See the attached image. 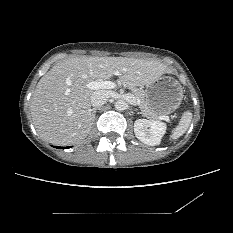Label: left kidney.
Instances as JSON below:
<instances>
[{
  "label": "left kidney",
  "instance_id": "obj_1",
  "mask_svg": "<svg viewBox=\"0 0 233 233\" xmlns=\"http://www.w3.org/2000/svg\"><path fill=\"white\" fill-rule=\"evenodd\" d=\"M166 124L160 121L138 119L134 123L135 136L144 144L159 145L166 132Z\"/></svg>",
  "mask_w": 233,
  "mask_h": 233
}]
</instances>
